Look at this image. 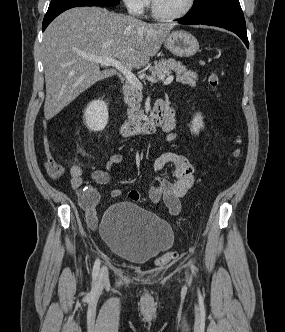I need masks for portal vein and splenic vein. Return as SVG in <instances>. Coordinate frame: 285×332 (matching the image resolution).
Listing matches in <instances>:
<instances>
[{
    "label": "portal vein and splenic vein",
    "instance_id": "portal-vein-and-splenic-vein-1",
    "mask_svg": "<svg viewBox=\"0 0 285 332\" xmlns=\"http://www.w3.org/2000/svg\"><path fill=\"white\" fill-rule=\"evenodd\" d=\"M88 60L99 63L104 66H112L118 69L123 73V75L126 77L127 81L137 90L141 91L143 89L142 83L137 79V77L126 67H124L118 60L112 59V58H104V57H97V56H87ZM165 76L162 75L158 78V80H162L164 85L170 84L174 76L170 75L166 79H164Z\"/></svg>",
    "mask_w": 285,
    "mask_h": 332
}]
</instances>
